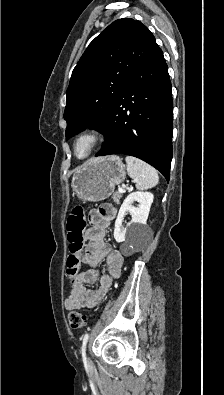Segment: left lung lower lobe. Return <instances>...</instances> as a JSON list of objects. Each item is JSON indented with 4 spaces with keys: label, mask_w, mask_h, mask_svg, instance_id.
<instances>
[{
    "label": "left lung lower lobe",
    "mask_w": 224,
    "mask_h": 395,
    "mask_svg": "<svg viewBox=\"0 0 224 395\" xmlns=\"http://www.w3.org/2000/svg\"><path fill=\"white\" fill-rule=\"evenodd\" d=\"M163 52L156 44L132 73L109 110L105 142L95 156L126 154L159 170L169 181L173 103Z\"/></svg>",
    "instance_id": "left-lung-lower-lobe-1"
}]
</instances>
